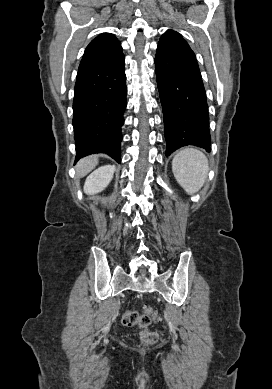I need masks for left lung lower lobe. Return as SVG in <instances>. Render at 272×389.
Wrapping results in <instances>:
<instances>
[{"mask_svg": "<svg viewBox=\"0 0 272 389\" xmlns=\"http://www.w3.org/2000/svg\"><path fill=\"white\" fill-rule=\"evenodd\" d=\"M155 64L163 109L166 156L187 145L210 152L208 105L196 58L157 47Z\"/></svg>", "mask_w": 272, "mask_h": 389, "instance_id": "obj_1", "label": "left lung lower lobe"}]
</instances>
